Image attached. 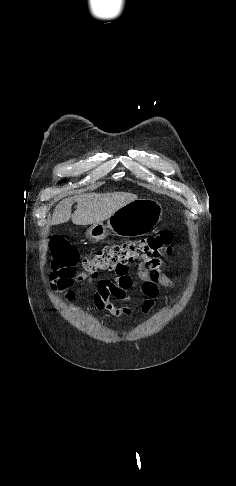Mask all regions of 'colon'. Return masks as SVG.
Segmentation results:
<instances>
[{
  "label": "colon",
  "instance_id": "colon-1",
  "mask_svg": "<svg viewBox=\"0 0 236 486\" xmlns=\"http://www.w3.org/2000/svg\"><path fill=\"white\" fill-rule=\"evenodd\" d=\"M172 241V233L163 231L138 241L100 248L82 261V271L78 275V280L91 282L99 271L121 270L141 258L157 260L160 255L171 251ZM50 252L52 288L63 292L67 299H72L74 293L71 286L79 261L78 251L64 239L54 238L50 243Z\"/></svg>",
  "mask_w": 236,
  "mask_h": 486
}]
</instances>
